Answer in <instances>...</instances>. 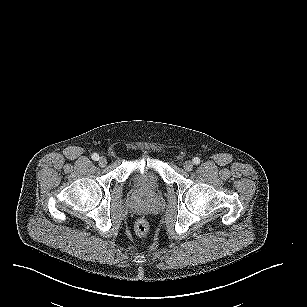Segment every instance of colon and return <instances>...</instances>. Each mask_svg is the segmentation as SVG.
Wrapping results in <instances>:
<instances>
[{"label": "colon", "instance_id": "1", "mask_svg": "<svg viewBox=\"0 0 307 307\" xmlns=\"http://www.w3.org/2000/svg\"><path fill=\"white\" fill-rule=\"evenodd\" d=\"M135 232L140 237H146L150 231V224L146 218H139L134 226Z\"/></svg>", "mask_w": 307, "mask_h": 307}]
</instances>
